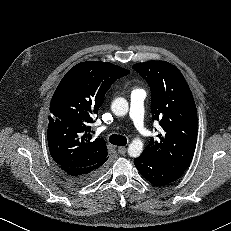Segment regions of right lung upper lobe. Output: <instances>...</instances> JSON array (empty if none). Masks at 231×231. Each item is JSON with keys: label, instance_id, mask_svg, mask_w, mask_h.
<instances>
[{"label": "right lung upper lobe", "instance_id": "obj_1", "mask_svg": "<svg viewBox=\"0 0 231 231\" xmlns=\"http://www.w3.org/2000/svg\"><path fill=\"white\" fill-rule=\"evenodd\" d=\"M129 70L101 61L72 67L56 88L50 103L47 139L53 160L62 167H91L108 157L104 139H92L90 124L106 92Z\"/></svg>", "mask_w": 231, "mask_h": 231}]
</instances>
